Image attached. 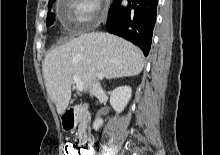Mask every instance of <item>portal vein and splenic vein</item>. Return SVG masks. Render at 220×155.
Here are the masks:
<instances>
[{"instance_id": "obj_1", "label": "portal vein and splenic vein", "mask_w": 220, "mask_h": 155, "mask_svg": "<svg viewBox=\"0 0 220 155\" xmlns=\"http://www.w3.org/2000/svg\"><path fill=\"white\" fill-rule=\"evenodd\" d=\"M73 81L76 84V88L79 91H82L84 89V84L78 75H76V74L73 75Z\"/></svg>"}]
</instances>
